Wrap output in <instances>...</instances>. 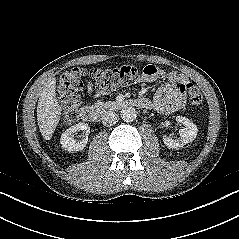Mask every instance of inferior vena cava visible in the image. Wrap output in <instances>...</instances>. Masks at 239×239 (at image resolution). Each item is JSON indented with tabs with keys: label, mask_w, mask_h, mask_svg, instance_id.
Wrapping results in <instances>:
<instances>
[{
	"label": "inferior vena cava",
	"mask_w": 239,
	"mask_h": 239,
	"mask_svg": "<svg viewBox=\"0 0 239 239\" xmlns=\"http://www.w3.org/2000/svg\"><path fill=\"white\" fill-rule=\"evenodd\" d=\"M118 115L114 112H108L104 114L101 118L103 125L105 126H113L118 122Z\"/></svg>",
	"instance_id": "inferior-vena-cava-1"
}]
</instances>
